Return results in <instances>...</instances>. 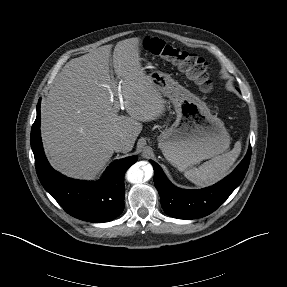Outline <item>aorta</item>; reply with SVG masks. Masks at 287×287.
Returning <instances> with one entry per match:
<instances>
[{"label": "aorta", "instance_id": "1", "mask_svg": "<svg viewBox=\"0 0 287 287\" xmlns=\"http://www.w3.org/2000/svg\"><path fill=\"white\" fill-rule=\"evenodd\" d=\"M152 173L153 168L150 164L141 167L139 163H136L128 169L126 179L130 183L137 184L143 181L145 175L151 176Z\"/></svg>", "mask_w": 287, "mask_h": 287}]
</instances>
